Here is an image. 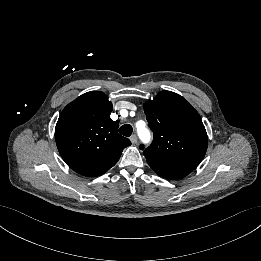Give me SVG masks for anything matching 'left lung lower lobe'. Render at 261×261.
Wrapping results in <instances>:
<instances>
[{
	"instance_id": "left-lung-lower-lobe-1",
	"label": "left lung lower lobe",
	"mask_w": 261,
	"mask_h": 261,
	"mask_svg": "<svg viewBox=\"0 0 261 261\" xmlns=\"http://www.w3.org/2000/svg\"><path fill=\"white\" fill-rule=\"evenodd\" d=\"M159 176L163 177V178H167V179H180L182 177H179L177 175H174V174H171V173H165V172H158V171H155Z\"/></svg>"
}]
</instances>
